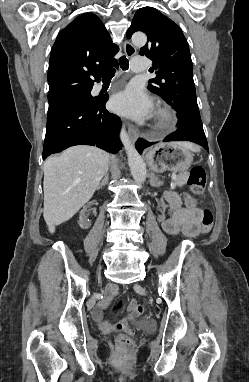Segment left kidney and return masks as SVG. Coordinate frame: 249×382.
Segmentation results:
<instances>
[{
  "instance_id": "1",
  "label": "left kidney",
  "mask_w": 249,
  "mask_h": 382,
  "mask_svg": "<svg viewBox=\"0 0 249 382\" xmlns=\"http://www.w3.org/2000/svg\"><path fill=\"white\" fill-rule=\"evenodd\" d=\"M154 207L155 208H165L166 207V202L165 201H155L154 202Z\"/></svg>"
}]
</instances>
